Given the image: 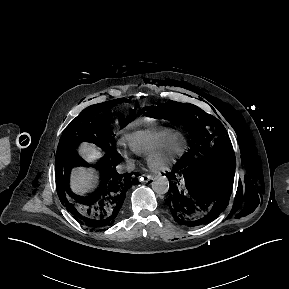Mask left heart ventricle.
Masks as SVG:
<instances>
[{
	"label": "left heart ventricle",
	"instance_id": "b2bd125f",
	"mask_svg": "<svg viewBox=\"0 0 289 289\" xmlns=\"http://www.w3.org/2000/svg\"><path fill=\"white\" fill-rule=\"evenodd\" d=\"M178 146L177 145H174V149H176Z\"/></svg>",
	"mask_w": 289,
	"mask_h": 289
}]
</instances>
